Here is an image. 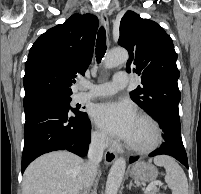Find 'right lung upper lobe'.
<instances>
[{
    "label": "right lung upper lobe",
    "instance_id": "cb5924a9",
    "mask_svg": "<svg viewBox=\"0 0 201 194\" xmlns=\"http://www.w3.org/2000/svg\"><path fill=\"white\" fill-rule=\"evenodd\" d=\"M98 19L74 14L42 34L30 49L23 79L25 97L71 95L78 74L84 75L94 50Z\"/></svg>",
    "mask_w": 201,
    "mask_h": 194
}]
</instances>
